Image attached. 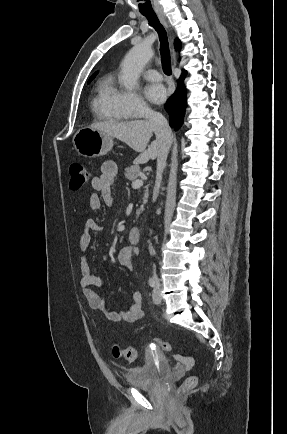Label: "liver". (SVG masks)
<instances>
[{
	"label": "liver",
	"instance_id": "obj_1",
	"mask_svg": "<svg viewBox=\"0 0 287 434\" xmlns=\"http://www.w3.org/2000/svg\"><path fill=\"white\" fill-rule=\"evenodd\" d=\"M90 127L119 139L134 151L139 152L140 154L135 159V163H144L149 159H155L157 157L159 151V143L157 139L151 142L148 146L153 132H155L154 127L148 120H133L126 122L108 121L94 123ZM147 146L148 148L146 149Z\"/></svg>",
	"mask_w": 287,
	"mask_h": 434
}]
</instances>
